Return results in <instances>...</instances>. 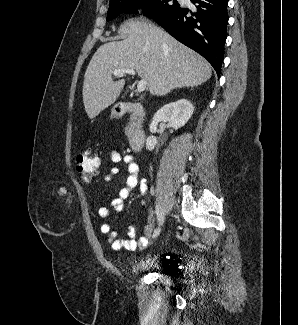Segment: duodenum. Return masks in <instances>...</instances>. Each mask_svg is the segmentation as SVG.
Returning a JSON list of instances; mask_svg holds the SVG:
<instances>
[{
    "label": "duodenum",
    "instance_id": "duodenum-1",
    "mask_svg": "<svg viewBox=\"0 0 298 325\" xmlns=\"http://www.w3.org/2000/svg\"><path fill=\"white\" fill-rule=\"evenodd\" d=\"M118 112L120 115H130L133 126L129 135V145L133 151H140L144 146L146 135L137 123L145 114L144 106L136 102H126L120 105Z\"/></svg>",
    "mask_w": 298,
    "mask_h": 325
}]
</instances>
